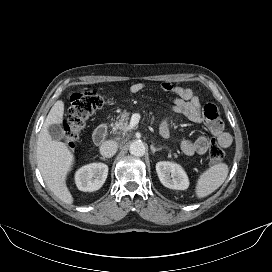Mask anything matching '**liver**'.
Returning <instances> with one entry per match:
<instances>
[{
    "label": "liver",
    "instance_id": "1",
    "mask_svg": "<svg viewBox=\"0 0 272 272\" xmlns=\"http://www.w3.org/2000/svg\"><path fill=\"white\" fill-rule=\"evenodd\" d=\"M64 102L58 100L52 106L38 136L37 164L48 188L54 195L66 204H72L74 199L70 193L66 178L70 172L75 156L62 142L52 140L48 127L63 122Z\"/></svg>",
    "mask_w": 272,
    "mask_h": 272
}]
</instances>
